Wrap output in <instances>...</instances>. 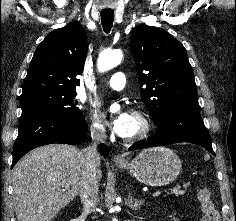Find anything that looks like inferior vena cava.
I'll use <instances>...</instances> for the list:
<instances>
[{"label":"inferior vena cava","mask_w":236,"mask_h":221,"mask_svg":"<svg viewBox=\"0 0 236 221\" xmlns=\"http://www.w3.org/2000/svg\"><path fill=\"white\" fill-rule=\"evenodd\" d=\"M90 134L92 143L82 150V161L84 173L80 187V198L85 212H94L99 202V177L100 152L98 144L105 142V130L100 128H91Z\"/></svg>","instance_id":"obj_1"}]
</instances>
